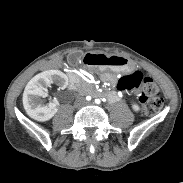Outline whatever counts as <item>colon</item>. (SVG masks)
<instances>
[{
	"mask_svg": "<svg viewBox=\"0 0 183 183\" xmlns=\"http://www.w3.org/2000/svg\"><path fill=\"white\" fill-rule=\"evenodd\" d=\"M88 63L105 66L123 65L125 61L122 58L94 55L89 58ZM117 87L120 91L137 90L142 110L149 116L159 113L163 106L161 89L158 84L152 78L144 76L138 71L123 75L119 79Z\"/></svg>",
	"mask_w": 183,
	"mask_h": 183,
	"instance_id": "1",
	"label": "colon"
}]
</instances>
